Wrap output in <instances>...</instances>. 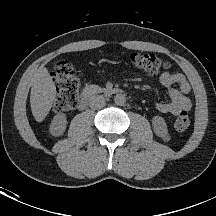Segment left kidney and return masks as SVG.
<instances>
[{"mask_svg": "<svg viewBox=\"0 0 216 216\" xmlns=\"http://www.w3.org/2000/svg\"><path fill=\"white\" fill-rule=\"evenodd\" d=\"M152 126L155 134L163 139L168 137L167 124L163 117L154 116L152 119Z\"/></svg>", "mask_w": 216, "mask_h": 216, "instance_id": "left-kidney-1", "label": "left kidney"}]
</instances>
